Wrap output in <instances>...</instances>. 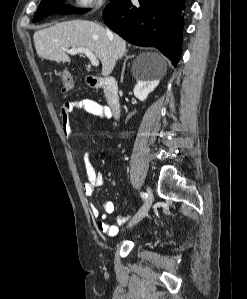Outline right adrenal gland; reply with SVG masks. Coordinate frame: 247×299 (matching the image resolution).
Listing matches in <instances>:
<instances>
[{
    "mask_svg": "<svg viewBox=\"0 0 247 299\" xmlns=\"http://www.w3.org/2000/svg\"><path fill=\"white\" fill-rule=\"evenodd\" d=\"M134 58V55H127V52L125 53V60H124V64H123V68H122V72H121V77L123 78L124 75V71H125V65L128 59Z\"/></svg>",
    "mask_w": 247,
    "mask_h": 299,
    "instance_id": "obj_1",
    "label": "right adrenal gland"
}]
</instances>
